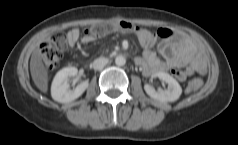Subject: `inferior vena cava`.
<instances>
[{"mask_svg":"<svg viewBox=\"0 0 238 145\" xmlns=\"http://www.w3.org/2000/svg\"><path fill=\"white\" fill-rule=\"evenodd\" d=\"M108 59L105 58V57H100V58H97L93 61L92 63V67L95 69V70H100V69H103L104 66L107 65L108 63Z\"/></svg>","mask_w":238,"mask_h":145,"instance_id":"obj_1","label":"inferior vena cava"}]
</instances>
